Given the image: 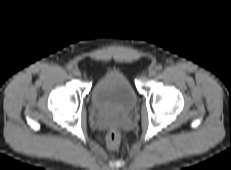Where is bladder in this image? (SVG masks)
<instances>
[{
	"mask_svg": "<svg viewBox=\"0 0 231 170\" xmlns=\"http://www.w3.org/2000/svg\"><path fill=\"white\" fill-rule=\"evenodd\" d=\"M91 105L95 112L122 115L130 112L137 103L135 90L120 71H109L101 76L91 91Z\"/></svg>",
	"mask_w": 231,
	"mask_h": 170,
	"instance_id": "bladder-1",
	"label": "bladder"
}]
</instances>
